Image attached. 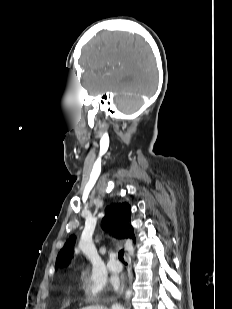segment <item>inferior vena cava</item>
Here are the masks:
<instances>
[{"mask_svg": "<svg viewBox=\"0 0 232 309\" xmlns=\"http://www.w3.org/2000/svg\"><path fill=\"white\" fill-rule=\"evenodd\" d=\"M112 309H122L121 307H113Z\"/></svg>", "mask_w": 232, "mask_h": 309, "instance_id": "1", "label": "inferior vena cava"}]
</instances>
